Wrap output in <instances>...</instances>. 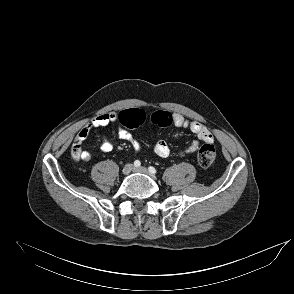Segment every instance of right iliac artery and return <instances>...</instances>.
I'll return each instance as SVG.
<instances>
[{"label":"right iliac artery","instance_id":"1","mask_svg":"<svg viewBox=\"0 0 294 294\" xmlns=\"http://www.w3.org/2000/svg\"><path fill=\"white\" fill-rule=\"evenodd\" d=\"M141 165L140 161L139 160H135L134 161V166L135 167H139Z\"/></svg>","mask_w":294,"mask_h":294}]
</instances>
